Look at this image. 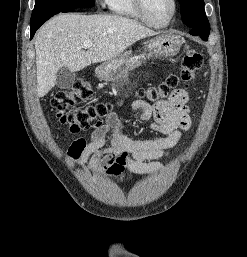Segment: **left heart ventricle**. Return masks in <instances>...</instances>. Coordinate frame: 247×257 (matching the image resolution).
Masks as SVG:
<instances>
[{
  "label": "left heart ventricle",
  "instance_id": "obj_1",
  "mask_svg": "<svg viewBox=\"0 0 247 257\" xmlns=\"http://www.w3.org/2000/svg\"><path fill=\"white\" fill-rule=\"evenodd\" d=\"M145 2L148 15L157 23L167 21L172 14V0H145Z\"/></svg>",
  "mask_w": 247,
  "mask_h": 257
}]
</instances>
